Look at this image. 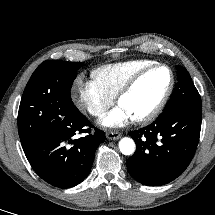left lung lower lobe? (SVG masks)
Segmentation results:
<instances>
[{"label": "left lung lower lobe", "instance_id": "left-lung-lower-lobe-1", "mask_svg": "<svg viewBox=\"0 0 215 215\" xmlns=\"http://www.w3.org/2000/svg\"><path fill=\"white\" fill-rule=\"evenodd\" d=\"M202 112L173 109L149 126L132 131L136 152L127 160L130 175L147 186L164 185L190 164L200 136Z\"/></svg>", "mask_w": 215, "mask_h": 215}]
</instances>
